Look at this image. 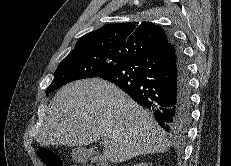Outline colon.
<instances>
[{
  "label": "colon",
  "mask_w": 231,
  "mask_h": 166,
  "mask_svg": "<svg viewBox=\"0 0 231 166\" xmlns=\"http://www.w3.org/2000/svg\"><path fill=\"white\" fill-rule=\"evenodd\" d=\"M38 156L45 166H64V161L59 153L51 149H42Z\"/></svg>",
  "instance_id": "1"
}]
</instances>
